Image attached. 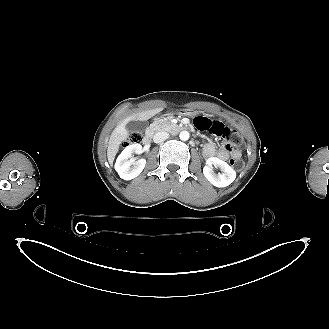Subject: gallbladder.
Wrapping results in <instances>:
<instances>
[{
	"instance_id": "bac80fb5",
	"label": "gallbladder",
	"mask_w": 329,
	"mask_h": 329,
	"mask_svg": "<svg viewBox=\"0 0 329 329\" xmlns=\"http://www.w3.org/2000/svg\"><path fill=\"white\" fill-rule=\"evenodd\" d=\"M147 127L148 124L146 121L132 120L126 124V129L129 132L143 133Z\"/></svg>"
}]
</instances>
